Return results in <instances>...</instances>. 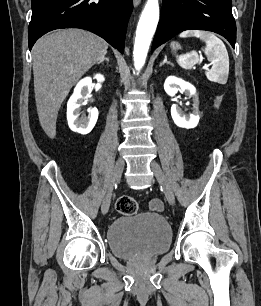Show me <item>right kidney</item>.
<instances>
[{"mask_svg": "<svg viewBox=\"0 0 261 306\" xmlns=\"http://www.w3.org/2000/svg\"><path fill=\"white\" fill-rule=\"evenodd\" d=\"M98 82H103L104 76L97 74L94 77ZM92 78L87 77L80 80L67 103V120L70 129L80 134H88L94 128L98 119L97 108H92L89 112V116L86 118H79L80 106L83 100L87 99L91 93Z\"/></svg>", "mask_w": 261, "mask_h": 306, "instance_id": "1", "label": "right kidney"}]
</instances>
